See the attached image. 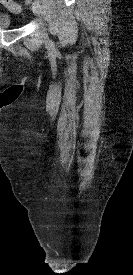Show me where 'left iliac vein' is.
I'll use <instances>...</instances> for the list:
<instances>
[{
  "label": "left iliac vein",
  "instance_id": "left-iliac-vein-1",
  "mask_svg": "<svg viewBox=\"0 0 133 275\" xmlns=\"http://www.w3.org/2000/svg\"><path fill=\"white\" fill-rule=\"evenodd\" d=\"M32 11L35 15H40L41 13V4L38 0H34L32 3Z\"/></svg>",
  "mask_w": 133,
  "mask_h": 275
}]
</instances>
